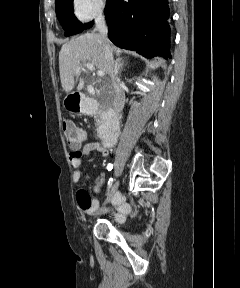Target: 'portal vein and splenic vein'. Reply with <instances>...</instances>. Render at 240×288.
<instances>
[{
	"mask_svg": "<svg viewBox=\"0 0 240 288\" xmlns=\"http://www.w3.org/2000/svg\"><path fill=\"white\" fill-rule=\"evenodd\" d=\"M84 68H87V69H89V70H91V71H94V70H95V66H94L93 64L87 62V63H84V64L80 65L79 67H77L76 70H75V73H76V74H80L81 71H82ZM97 75H98L99 77H104L105 73H104L103 71H98V72H97Z\"/></svg>",
	"mask_w": 240,
	"mask_h": 288,
	"instance_id": "portal-vein-and-splenic-vein-1",
	"label": "portal vein and splenic vein"
}]
</instances>
